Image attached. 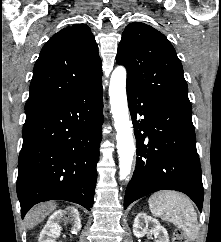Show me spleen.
<instances>
[{"instance_id":"obj_1","label":"spleen","mask_w":221,"mask_h":242,"mask_svg":"<svg viewBox=\"0 0 221 242\" xmlns=\"http://www.w3.org/2000/svg\"><path fill=\"white\" fill-rule=\"evenodd\" d=\"M148 204L153 216L173 223L191 241L197 239V213L188 197L176 191H159L150 196Z\"/></svg>"}]
</instances>
